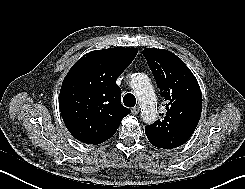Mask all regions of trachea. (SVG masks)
<instances>
[{"mask_svg":"<svg viewBox=\"0 0 245 189\" xmlns=\"http://www.w3.org/2000/svg\"><path fill=\"white\" fill-rule=\"evenodd\" d=\"M123 103L126 107H133L136 104V98L133 94L127 93L123 98Z\"/></svg>","mask_w":245,"mask_h":189,"instance_id":"obj_1","label":"trachea"}]
</instances>
